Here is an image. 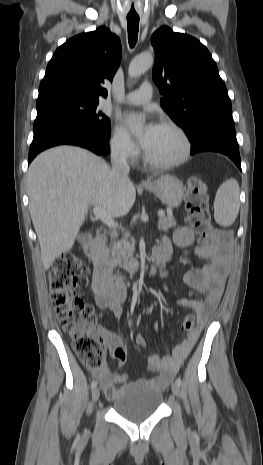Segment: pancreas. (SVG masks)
Instances as JSON below:
<instances>
[{
    "mask_svg": "<svg viewBox=\"0 0 263 465\" xmlns=\"http://www.w3.org/2000/svg\"><path fill=\"white\" fill-rule=\"evenodd\" d=\"M176 225V221L172 215L162 216L158 221V227L162 231H167ZM134 243L125 235L121 240L112 242L108 249L109 261L112 266L122 267L129 272H134L137 267V262L133 257Z\"/></svg>",
    "mask_w": 263,
    "mask_h": 465,
    "instance_id": "obj_1",
    "label": "pancreas"
}]
</instances>
